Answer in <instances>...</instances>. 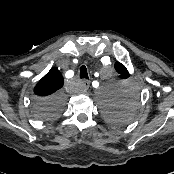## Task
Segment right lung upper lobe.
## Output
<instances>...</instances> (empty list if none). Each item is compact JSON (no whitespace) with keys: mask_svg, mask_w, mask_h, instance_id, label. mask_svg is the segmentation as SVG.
I'll list each match as a JSON object with an SVG mask.
<instances>
[{"mask_svg":"<svg viewBox=\"0 0 174 174\" xmlns=\"http://www.w3.org/2000/svg\"><path fill=\"white\" fill-rule=\"evenodd\" d=\"M63 86V77L57 68H52L35 86L34 93L46 97L58 93Z\"/></svg>","mask_w":174,"mask_h":174,"instance_id":"1","label":"right lung upper lobe"}]
</instances>
